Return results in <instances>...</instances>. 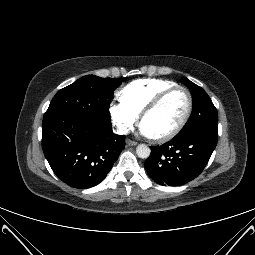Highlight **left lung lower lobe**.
I'll use <instances>...</instances> for the list:
<instances>
[{
    "instance_id": "left-lung-lower-lobe-1",
    "label": "left lung lower lobe",
    "mask_w": 255,
    "mask_h": 255,
    "mask_svg": "<svg viewBox=\"0 0 255 255\" xmlns=\"http://www.w3.org/2000/svg\"><path fill=\"white\" fill-rule=\"evenodd\" d=\"M217 140L218 134L198 133L175 136L160 147L151 146L146 171L160 185H183L203 171Z\"/></svg>"
}]
</instances>
